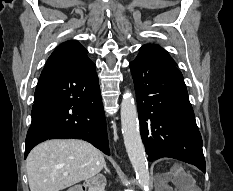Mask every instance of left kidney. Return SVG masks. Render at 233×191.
Returning <instances> with one entry per match:
<instances>
[{
	"instance_id": "obj_1",
	"label": "left kidney",
	"mask_w": 233,
	"mask_h": 191,
	"mask_svg": "<svg viewBox=\"0 0 233 191\" xmlns=\"http://www.w3.org/2000/svg\"><path fill=\"white\" fill-rule=\"evenodd\" d=\"M172 179V176H168L166 181H169ZM173 180H175V182L179 185V186H182V183H181V179L178 175H174L173 176ZM165 186L167 187V191H170V189L168 188L167 184H165ZM184 189V187H181ZM183 191V190H182Z\"/></svg>"
}]
</instances>
